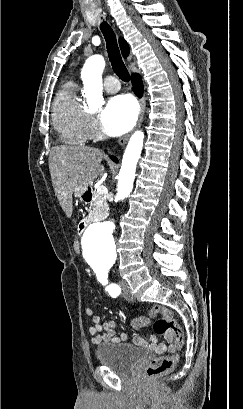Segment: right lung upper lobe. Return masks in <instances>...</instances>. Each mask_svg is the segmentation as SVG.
I'll list each match as a JSON object with an SVG mask.
<instances>
[{
	"mask_svg": "<svg viewBox=\"0 0 243 409\" xmlns=\"http://www.w3.org/2000/svg\"><path fill=\"white\" fill-rule=\"evenodd\" d=\"M120 48H121L123 56L126 58L129 54V46L126 43V41L122 38H120Z\"/></svg>",
	"mask_w": 243,
	"mask_h": 409,
	"instance_id": "cb5924a9",
	"label": "right lung upper lobe"
}]
</instances>
